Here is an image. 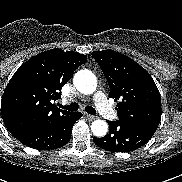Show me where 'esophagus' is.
<instances>
[{"label": "esophagus", "instance_id": "34e87169", "mask_svg": "<svg viewBox=\"0 0 182 182\" xmlns=\"http://www.w3.org/2000/svg\"><path fill=\"white\" fill-rule=\"evenodd\" d=\"M85 116L90 121L97 119V116H92V115H89V114H86Z\"/></svg>", "mask_w": 182, "mask_h": 182}]
</instances>
